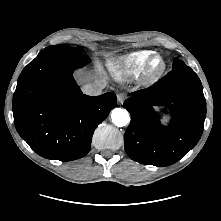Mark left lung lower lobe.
<instances>
[{"instance_id":"obj_1","label":"left lung lower lobe","mask_w":221,"mask_h":221,"mask_svg":"<svg viewBox=\"0 0 221 221\" xmlns=\"http://www.w3.org/2000/svg\"><path fill=\"white\" fill-rule=\"evenodd\" d=\"M153 106L168 108L169 126L160 123ZM131 122L124 141L127 155L141 164H174L199 141L206 117L201 81L188 66L172 71L154 86L135 91L124 102Z\"/></svg>"}]
</instances>
